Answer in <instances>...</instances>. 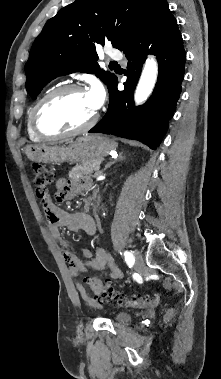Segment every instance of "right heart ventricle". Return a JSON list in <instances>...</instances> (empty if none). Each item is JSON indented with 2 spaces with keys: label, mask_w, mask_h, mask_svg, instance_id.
<instances>
[{
  "label": "right heart ventricle",
  "mask_w": 221,
  "mask_h": 379,
  "mask_svg": "<svg viewBox=\"0 0 221 379\" xmlns=\"http://www.w3.org/2000/svg\"><path fill=\"white\" fill-rule=\"evenodd\" d=\"M55 87L53 88H50L48 90H46L42 96L32 105V107L29 109L28 111V114H27V124H26V127H27V133L29 135V137L32 139V140H35V141H38V140H41L42 138L36 134V132L34 131L33 127H32V122H31V118H32V112L34 110V107L36 106V104L41 100V98L43 96H45L48 92H50L52 89H54Z\"/></svg>",
  "instance_id": "right-heart-ventricle-1"
}]
</instances>
